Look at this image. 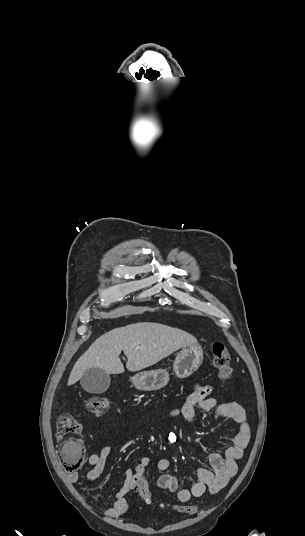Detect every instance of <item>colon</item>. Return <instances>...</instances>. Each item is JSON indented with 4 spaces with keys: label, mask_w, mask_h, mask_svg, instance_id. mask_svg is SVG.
<instances>
[{
    "label": "colon",
    "mask_w": 305,
    "mask_h": 536,
    "mask_svg": "<svg viewBox=\"0 0 305 536\" xmlns=\"http://www.w3.org/2000/svg\"><path fill=\"white\" fill-rule=\"evenodd\" d=\"M212 359L214 367L217 370L219 379L228 382L232 375L230 366V356L227 345L222 341H214L212 344ZM109 401L102 396H92L86 400L87 410L94 415H101L108 410ZM80 423L70 414L62 413L57 419L56 425V445L57 459L62 463L64 471H79L82 454L87 452V445L83 443ZM62 442V443H60ZM141 480V477H138ZM139 495L144 504L152 503L155 506L154 513L175 512L177 505L175 503L154 502V493L150 492L144 481L137 483ZM192 503H180L178 510L180 512L190 513L192 517L197 515Z\"/></svg>",
    "instance_id": "5ec220e1"
}]
</instances>
